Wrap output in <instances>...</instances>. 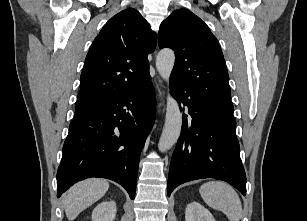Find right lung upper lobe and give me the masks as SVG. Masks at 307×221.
<instances>
[{
    "label": "right lung upper lobe",
    "mask_w": 307,
    "mask_h": 221,
    "mask_svg": "<svg viewBox=\"0 0 307 221\" xmlns=\"http://www.w3.org/2000/svg\"><path fill=\"white\" fill-rule=\"evenodd\" d=\"M156 34L133 8L113 16L92 43L81 73L76 107H95L142 87Z\"/></svg>",
    "instance_id": "cb5924a9"
}]
</instances>
